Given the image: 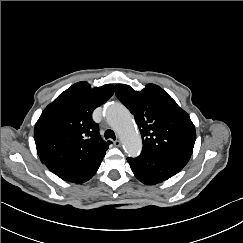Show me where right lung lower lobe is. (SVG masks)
Wrapping results in <instances>:
<instances>
[{
    "instance_id": "98d812e1",
    "label": "right lung lower lobe",
    "mask_w": 243,
    "mask_h": 243,
    "mask_svg": "<svg viewBox=\"0 0 243 243\" xmlns=\"http://www.w3.org/2000/svg\"><path fill=\"white\" fill-rule=\"evenodd\" d=\"M100 164L101 161L94 164H89L78 170L62 173L57 176L65 181L81 184L83 182L88 181L90 178H92V176L98 170Z\"/></svg>"
}]
</instances>
